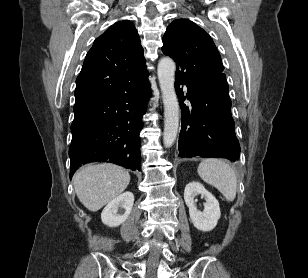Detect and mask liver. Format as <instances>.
Wrapping results in <instances>:
<instances>
[{"label": "liver", "instance_id": "6515ba94", "mask_svg": "<svg viewBox=\"0 0 308 278\" xmlns=\"http://www.w3.org/2000/svg\"><path fill=\"white\" fill-rule=\"evenodd\" d=\"M129 182L128 171L110 163L83 166L73 177L77 197L93 212L120 196Z\"/></svg>", "mask_w": 308, "mask_h": 278}]
</instances>
